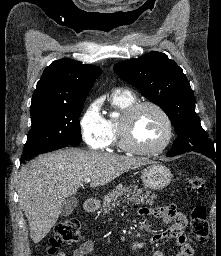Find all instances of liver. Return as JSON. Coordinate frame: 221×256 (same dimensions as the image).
Segmentation results:
<instances>
[{
    "label": "liver",
    "instance_id": "obj_1",
    "mask_svg": "<svg viewBox=\"0 0 221 256\" xmlns=\"http://www.w3.org/2000/svg\"><path fill=\"white\" fill-rule=\"evenodd\" d=\"M151 163L144 158L74 148L60 149L30 161L19 172L17 191L31 239L38 243L49 233L65 199L75 195L85 179L91 180V187H99Z\"/></svg>",
    "mask_w": 221,
    "mask_h": 256
}]
</instances>
